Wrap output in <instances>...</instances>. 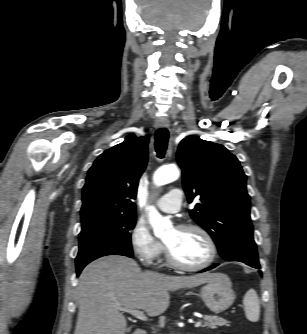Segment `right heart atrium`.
I'll list each match as a JSON object with an SVG mask.
<instances>
[{
    "mask_svg": "<svg viewBox=\"0 0 307 334\" xmlns=\"http://www.w3.org/2000/svg\"><path fill=\"white\" fill-rule=\"evenodd\" d=\"M130 244L135 257L143 264L154 263L162 254L164 247L142 221H137L130 233Z\"/></svg>",
    "mask_w": 307,
    "mask_h": 334,
    "instance_id": "d8ad5b80",
    "label": "right heart atrium"
}]
</instances>
